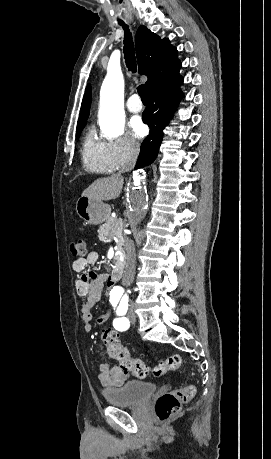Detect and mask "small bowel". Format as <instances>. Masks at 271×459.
Instances as JSON below:
<instances>
[{"label": "small bowel", "mask_w": 271, "mask_h": 459, "mask_svg": "<svg viewBox=\"0 0 271 459\" xmlns=\"http://www.w3.org/2000/svg\"><path fill=\"white\" fill-rule=\"evenodd\" d=\"M99 255L95 251L89 252L85 257L77 258L73 264V270L78 273L76 290L83 298L81 304V318L84 322L86 332L91 331L92 309L100 301L104 285L110 283L109 276L96 271H86L88 266L97 263ZM109 317L108 310H105L97 318V323L103 325ZM129 377V372L123 370L115 363H103L99 366L98 379L104 389L121 387Z\"/></svg>", "instance_id": "1"}]
</instances>
